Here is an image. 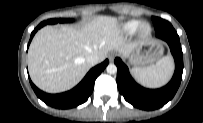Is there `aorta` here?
Listing matches in <instances>:
<instances>
[{
    "label": "aorta",
    "mask_w": 203,
    "mask_h": 123,
    "mask_svg": "<svg viewBox=\"0 0 203 123\" xmlns=\"http://www.w3.org/2000/svg\"><path fill=\"white\" fill-rule=\"evenodd\" d=\"M106 70H107V73H109V74H115V73L117 72V67H116L115 64L110 63V64L107 66Z\"/></svg>",
    "instance_id": "obj_1"
}]
</instances>
